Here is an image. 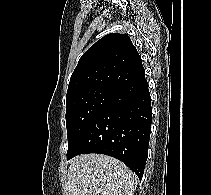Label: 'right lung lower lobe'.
<instances>
[{
	"label": "right lung lower lobe",
	"mask_w": 211,
	"mask_h": 195,
	"mask_svg": "<svg viewBox=\"0 0 211 195\" xmlns=\"http://www.w3.org/2000/svg\"><path fill=\"white\" fill-rule=\"evenodd\" d=\"M151 98L145 76L114 88L67 159L99 153L124 162L141 180L151 133Z\"/></svg>",
	"instance_id": "obj_1"
}]
</instances>
